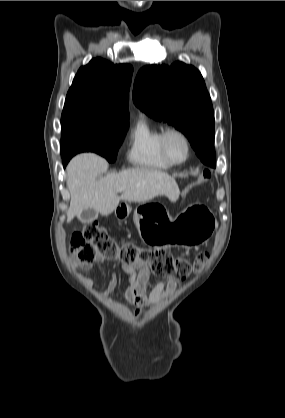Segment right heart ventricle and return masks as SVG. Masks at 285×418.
I'll return each mask as SVG.
<instances>
[{"label": "right heart ventricle", "mask_w": 285, "mask_h": 418, "mask_svg": "<svg viewBox=\"0 0 285 418\" xmlns=\"http://www.w3.org/2000/svg\"><path fill=\"white\" fill-rule=\"evenodd\" d=\"M161 130L145 119H140L128 137L127 160L136 167L162 170L170 166L160 151L158 138Z\"/></svg>", "instance_id": "1"}]
</instances>
